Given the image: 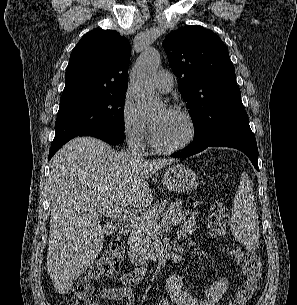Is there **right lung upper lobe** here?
Instances as JSON below:
<instances>
[{
	"instance_id": "right-lung-upper-lobe-1",
	"label": "right lung upper lobe",
	"mask_w": 297,
	"mask_h": 305,
	"mask_svg": "<svg viewBox=\"0 0 297 305\" xmlns=\"http://www.w3.org/2000/svg\"><path fill=\"white\" fill-rule=\"evenodd\" d=\"M131 48L112 30L94 29L72 50L61 99L127 90Z\"/></svg>"
}]
</instances>
